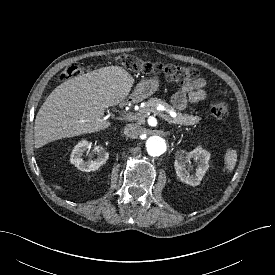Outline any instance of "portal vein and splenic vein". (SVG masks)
<instances>
[{
	"label": "portal vein and splenic vein",
	"instance_id": "1",
	"mask_svg": "<svg viewBox=\"0 0 275 275\" xmlns=\"http://www.w3.org/2000/svg\"><path fill=\"white\" fill-rule=\"evenodd\" d=\"M156 115H159L162 119H164L168 123H172V121L170 120V118L167 115H164V114H161V113H156ZM135 117L136 116L131 115V114L123 116L124 119H129V120L134 119Z\"/></svg>",
	"mask_w": 275,
	"mask_h": 275
}]
</instances>
